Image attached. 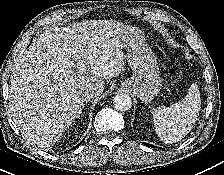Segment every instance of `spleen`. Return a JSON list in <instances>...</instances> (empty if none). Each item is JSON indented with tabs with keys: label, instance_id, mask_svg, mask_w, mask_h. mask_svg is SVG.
<instances>
[{
	"label": "spleen",
	"instance_id": "1",
	"mask_svg": "<svg viewBox=\"0 0 224 175\" xmlns=\"http://www.w3.org/2000/svg\"><path fill=\"white\" fill-rule=\"evenodd\" d=\"M201 97L197 84H192L184 99L170 107L155 109L153 122L161 141L172 143L184 138L198 119Z\"/></svg>",
	"mask_w": 224,
	"mask_h": 175
}]
</instances>
